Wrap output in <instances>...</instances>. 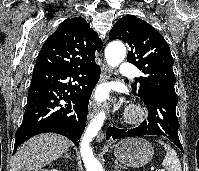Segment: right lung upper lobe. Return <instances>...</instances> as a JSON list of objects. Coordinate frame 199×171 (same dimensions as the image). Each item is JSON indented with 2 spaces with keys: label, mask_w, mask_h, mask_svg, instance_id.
Here are the masks:
<instances>
[{
  "label": "right lung upper lobe",
  "mask_w": 199,
  "mask_h": 171,
  "mask_svg": "<svg viewBox=\"0 0 199 171\" xmlns=\"http://www.w3.org/2000/svg\"><path fill=\"white\" fill-rule=\"evenodd\" d=\"M102 41L82 17L63 21L44 43L34 70L81 67L95 60Z\"/></svg>",
  "instance_id": "right-lung-upper-lobe-1"
}]
</instances>
